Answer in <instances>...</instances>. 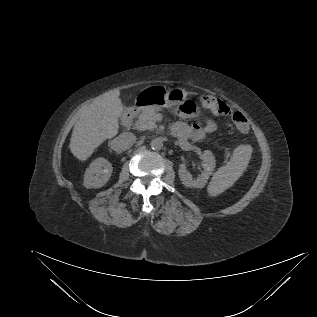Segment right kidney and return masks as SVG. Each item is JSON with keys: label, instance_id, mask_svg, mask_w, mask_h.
Wrapping results in <instances>:
<instances>
[{"label": "right kidney", "instance_id": "obj_1", "mask_svg": "<svg viewBox=\"0 0 317 317\" xmlns=\"http://www.w3.org/2000/svg\"><path fill=\"white\" fill-rule=\"evenodd\" d=\"M112 173V165L105 158H97L84 175V186L86 188H100L107 183Z\"/></svg>", "mask_w": 317, "mask_h": 317}]
</instances>
